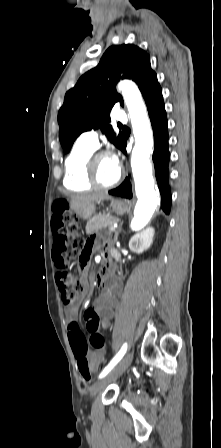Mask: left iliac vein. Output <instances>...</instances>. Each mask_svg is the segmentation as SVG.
Instances as JSON below:
<instances>
[{
    "label": "left iliac vein",
    "instance_id": "1",
    "mask_svg": "<svg viewBox=\"0 0 221 448\" xmlns=\"http://www.w3.org/2000/svg\"><path fill=\"white\" fill-rule=\"evenodd\" d=\"M134 357V352L131 351L127 355H125L119 363L102 379L95 382L90 387V396H95L99 391L104 389L109 383L116 380L128 367L131 365Z\"/></svg>",
    "mask_w": 221,
    "mask_h": 448
}]
</instances>
